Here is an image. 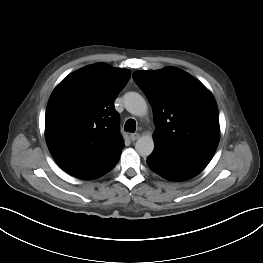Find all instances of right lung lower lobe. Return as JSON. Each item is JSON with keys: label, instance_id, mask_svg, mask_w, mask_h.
Returning <instances> with one entry per match:
<instances>
[{"label": "right lung lower lobe", "instance_id": "right-lung-lower-lobe-1", "mask_svg": "<svg viewBox=\"0 0 263 263\" xmlns=\"http://www.w3.org/2000/svg\"><path fill=\"white\" fill-rule=\"evenodd\" d=\"M119 158H120V156H118L111 163H109L108 165L104 166L101 169H98V170H95V171H91V172H88V173H84V174L76 176V177H78L80 179H85V180L98 178V177L106 174L110 170H112L114 168V166L117 164V162L119 161Z\"/></svg>", "mask_w": 263, "mask_h": 263}]
</instances>
